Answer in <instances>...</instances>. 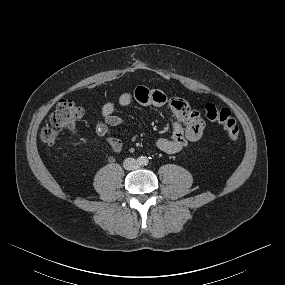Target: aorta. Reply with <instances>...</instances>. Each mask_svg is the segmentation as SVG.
<instances>
[{"label":"aorta","mask_w":285,"mask_h":285,"mask_svg":"<svg viewBox=\"0 0 285 285\" xmlns=\"http://www.w3.org/2000/svg\"><path fill=\"white\" fill-rule=\"evenodd\" d=\"M143 162L146 163V162H147V159L144 158V159H143Z\"/></svg>","instance_id":"aorta-1"}]
</instances>
